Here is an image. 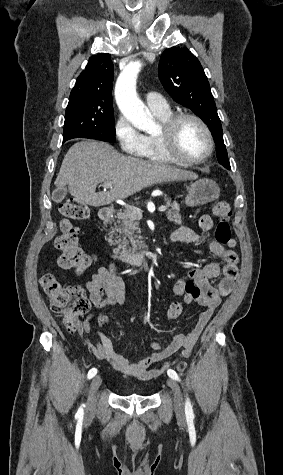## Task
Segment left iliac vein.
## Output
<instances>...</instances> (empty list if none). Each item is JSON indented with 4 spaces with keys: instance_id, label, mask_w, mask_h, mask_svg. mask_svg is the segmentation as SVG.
<instances>
[{
    "instance_id": "4c4485c4",
    "label": "left iliac vein",
    "mask_w": 283,
    "mask_h": 475,
    "mask_svg": "<svg viewBox=\"0 0 283 475\" xmlns=\"http://www.w3.org/2000/svg\"><path fill=\"white\" fill-rule=\"evenodd\" d=\"M167 385L172 389L174 393V405H175L178 415L183 416L184 415L183 413L184 401H183V396L181 394V390L178 383L174 379L169 378L167 380Z\"/></svg>"
}]
</instances>
